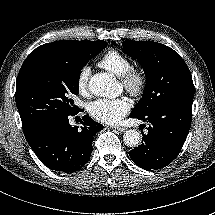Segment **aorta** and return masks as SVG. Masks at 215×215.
I'll return each mask as SVG.
<instances>
[{
    "label": "aorta",
    "instance_id": "762f6f07",
    "mask_svg": "<svg viewBox=\"0 0 215 215\" xmlns=\"http://www.w3.org/2000/svg\"><path fill=\"white\" fill-rule=\"evenodd\" d=\"M113 78L107 73H96L88 81V90L91 94L104 97L112 90ZM142 135L135 129L127 130L123 134V143L131 148L139 146Z\"/></svg>",
    "mask_w": 215,
    "mask_h": 215
}]
</instances>
